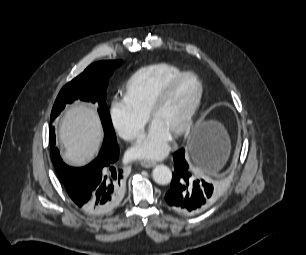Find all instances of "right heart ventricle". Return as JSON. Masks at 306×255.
<instances>
[{
    "mask_svg": "<svg viewBox=\"0 0 306 255\" xmlns=\"http://www.w3.org/2000/svg\"><path fill=\"white\" fill-rule=\"evenodd\" d=\"M184 71L168 64L148 65L134 72L124 87V99L139 113L147 116L148 110L162 89Z\"/></svg>",
    "mask_w": 306,
    "mask_h": 255,
    "instance_id": "e07e8e85",
    "label": "right heart ventricle"
}]
</instances>
